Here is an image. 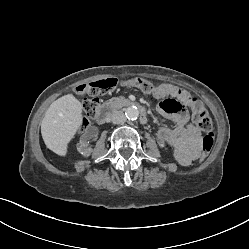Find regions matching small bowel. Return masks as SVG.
I'll return each mask as SVG.
<instances>
[{"label": "small bowel", "mask_w": 249, "mask_h": 249, "mask_svg": "<svg viewBox=\"0 0 249 249\" xmlns=\"http://www.w3.org/2000/svg\"><path fill=\"white\" fill-rule=\"evenodd\" d=\"M163 95L158 104V112L170 118L173 128L161 127L158 130V139L173 147L178 162L189 165L200 153L201 134L190 121V113L194 112L198 99L186 90L164 83L160 86Z\"/></svg>", "instance_id": "1"}]
</instances>
